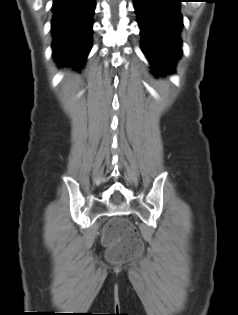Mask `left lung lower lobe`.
Segmentation results:
<instances>
[{
  "label": "left lung lower lobe",
  "instance_id": "obj_1",
  "mask_svg": "<svg viewBox=\"0 0 238 315\" xmlns=\"http://www.w3.org/2000/svg\"><path fill=\"white\" fill-rule=\"evenodd\" d=\"M141 33L142 51L154 74L175 71L182 53V0H133Z\"/></svg>",
  "mask_w": 238,
  "mask_h": 315
}]
</instances>
